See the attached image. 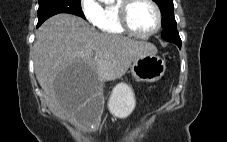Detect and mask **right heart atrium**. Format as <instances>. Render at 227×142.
<instances>
[{
  "label": "right heart atrium",
  "mask_w": 227,
  "mask_h": 142,
  "mask_svg": "<svg viewBox=\"0 0 227 142\" xmlns=\"http://www.w3.org/2000/svg\"><path fill=\"white\" fill-rule=\"evenodd\" d=\"M80 10L88 22L97 24L101 11V6L97 0H80Z\"/></svg>",
  "instance_id": "d8ad5b80"
}]
</instances>
